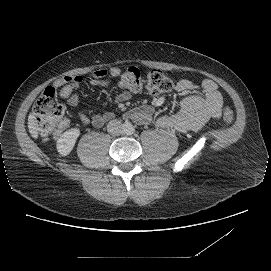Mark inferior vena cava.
Returning <instances> with one entry per match:
<instances>
[{"mask_svg": "<svg viewBox=\"0 0 271 271\" xmlns=\"http://www.w3.org/2000/svg\"><path fill=\"white\" fill-rule=\"evenodd\" d=\"M107 131L112 136H117L122 131V126L119 121H112L107 126Z\"/></svg>", "mask_w": 271, "mask_h": 271, "instance_id": "1", "label": "inferior vena cava"}]
</instances>
